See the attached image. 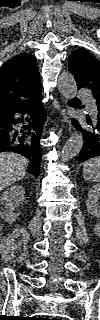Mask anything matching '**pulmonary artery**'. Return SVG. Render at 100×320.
<instances>
[{"label":"pulmonary artery","mask_w":100,"mask_h":320,"mask_svg":"<svg viewBox=\"0 0 100 320\" xmlns=\"http://www.w3.org/2000/svg\"><path fill=\"white\" fill-rule=\"evenodd\" d=\"M78 97L87 101L90 112L94 114L96 109H95V105L92 102L91 96L85 91H80L78 94Z\"/></svg>","instance_id":"1"}]
</instances>
